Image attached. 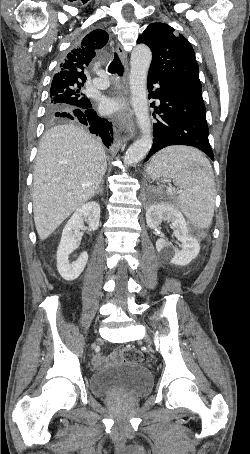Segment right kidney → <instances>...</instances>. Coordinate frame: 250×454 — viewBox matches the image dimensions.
Here are the masks:
<instances>
[{"instance_id": "right-kidney-1", "label": "right kidney", "mask_w": 250, "mask_h": 454, "mask_svg": "<svg viewBox=\"0 0 250 454\" xmlns=\"http://www.w3.org/2000/svg\"><path fill=\"white\" fill-rule=\"evenodd\" d=\"M100 219V206L97 202H88L74 212L65 225L61 241L57 250V269L63 279L67 281L75 280L83 272L88 254L83 252L73 263L69 260V255L77 248L76 237L87 221L89 228L97 230Z\"/></svg>"}]
</instances>
